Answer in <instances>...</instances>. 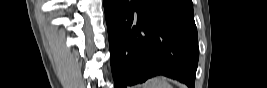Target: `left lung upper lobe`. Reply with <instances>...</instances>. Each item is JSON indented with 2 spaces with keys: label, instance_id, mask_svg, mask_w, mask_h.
Instances as JSON below:
<instances>
[{
  "label": "left lung upper lobe",
  "instance_id": "1",
  "mask_svg": "<svg viewBox=\"0 0 267 88\" xmlns=\"http://www.w3.org/2000/svg\"><path fill=\"white\" fill-rule=\"evenodd\" d=\"M184 4H187V5H190V6H193V3H192V0H178Z\"/></svg>",
  "mask_w": 267,
  "mask_h": 88
}]
</instances>
